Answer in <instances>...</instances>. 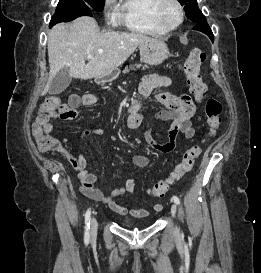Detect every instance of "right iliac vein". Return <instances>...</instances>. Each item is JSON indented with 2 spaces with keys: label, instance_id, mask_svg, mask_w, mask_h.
I'll return each instance as SVG.
<instances>
[{
  "label": "right iliac vein",
  "instance_id": "right-iliac-vein-1",
  "mask_svg": "<svg viewBox=\"0 0 261 273\" xmlns=\"http://www.w3.org/2000/svg\"><path fill=\"white\" fill-rule=\"evenodd\" d=\"M98 222L96 217L91 219V237L94 238L97 234Z\"/></svg>",
  "mask_w": 261,
  "mask_h": 273
}]
</instances>
